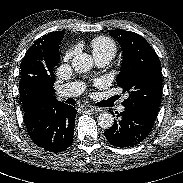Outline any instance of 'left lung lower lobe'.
Masks as SVG:
<instances>
[{
  "label": "left lung lower lobe",
  "mask_w": 183,
  "mask_h": 183,
  "mask_svg": "<svg viewBox=\"0 0 183 183\" xmlns=\"http://www.w3.org/2000/svg\"><path fill=\"white\" fill-rule=\"evenodd\" d=\"M110 129L105 131V137L112 145L120 148L133 147L142 142L153 128L155 119L131 107L117 115Z\"/></svg>",
  "instance_id": "left-lung-lower-lobe-1"
}]
</instances>
